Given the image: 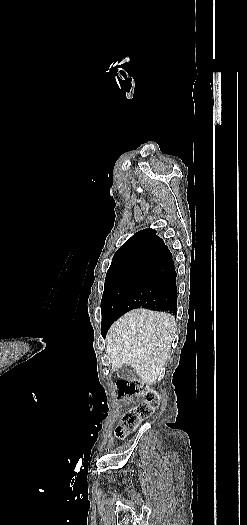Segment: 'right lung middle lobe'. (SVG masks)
<instances>
[{
    "label": "right lung middle lobe",
    "instance_id": "obj_1",
    "mask_svg": "<svg viewBox=\"0 0 247 525\" xmlns=\"http://www.w3.org/2000/svg\"><path fill=\"white\" fill-rule=\"evenodd\" d=\"M156 256L145 259L139 265L120 271H107L101 300L103 327H110L120 316L119 307L136 282L147 271Z\"/></svg>",
    "mask_w": 247,
    "mask_h": 525
}]
</instances>
